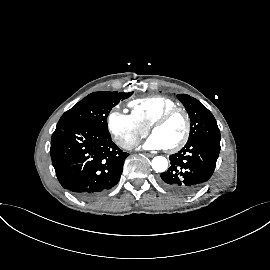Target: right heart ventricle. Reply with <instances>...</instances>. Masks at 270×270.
I'll use <instances>...</instances> for the list:
<instances>
[{
    "instance_id": "1",
    "label": "right heart ventricle",
    "mask_w": 270,
    "mask_h": 270,
    "mask_svg": "<svg viewBox=\"0 0 270 270\" xmlns=\"http://www.w3.org/2000/svg\"><path fill=\"white\" fill-rule=\"evenodd\" d=\"M137 121L150 128L151 124L165 111L178 106L173 99L164 96H148L132 100L129 103Z\"/></svg>"
}]
</instances>
